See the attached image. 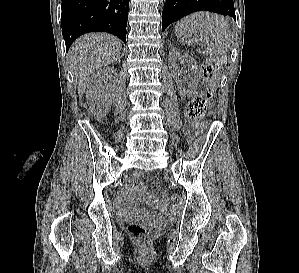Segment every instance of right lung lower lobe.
Segmentation results:
<instances>
[{"instance_id": "obj_1", "label": "right lung lower lobe", "mask_w": 299, "mask_h": 273, "mask_svg": "<svg viewBox=\"0 0 299 273\" xmlns=\"http://www.w3.org/2000/svg\"><path fill=\"white\" fill-rule=\"evenodd\" d=\"M129 0H62L61 25L66 50L80 35L108 32L126 44Z\"/></svg>"}]
</instances>
